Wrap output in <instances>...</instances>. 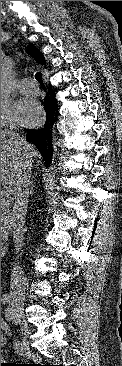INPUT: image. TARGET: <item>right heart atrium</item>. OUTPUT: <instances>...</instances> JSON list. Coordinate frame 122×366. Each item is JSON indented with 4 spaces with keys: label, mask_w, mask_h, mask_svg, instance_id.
<instances>
[{
    "label": "right heart atrium",
    "mask_w": 122,
    "mask_h": 366,
    "mask_svg": "<svg viewBox=\"0 0 122 366\" xmlns=\"http://www.w3.org/2000/svg\"><path fill=\"white\" fill-rule=\"evenodd\" d=\"M14 116H11L10 105L7 102H1V128H15Z\"/></svg>",
    "instance_id": "obj_1"
}]
</instances>
